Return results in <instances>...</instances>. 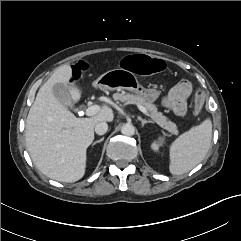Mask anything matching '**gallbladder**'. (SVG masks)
<instances>
[{"mask_svg": "<svg viewBox=\"0 0 241 241\" xmlns=\"http://www.w3.org/2000/svg\"><path fill=\"white\" fill-rule=\"evenodd\" d=\"M53 93L57 100L65 107L72 105L71 98L69 96L67 88L62 84H56L53 86Z\"/></svg>", "mask_w": 241, "mask_h": 241, "instance_id": "bac80fb5", "label": "gallbladder"}]
</instances>
